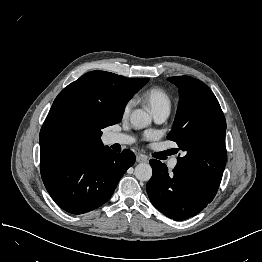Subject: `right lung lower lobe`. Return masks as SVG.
Listing matches in <instances>:
<instances>
[{
	"label": "right lung lower lobe",
	"mask_w": 262,
	"mask_h": 262,
	"mask_svg": "<svg viewBox=\"0 0 262 262\" xmlns=\"http://www.w3.org/2000/svg\"><path fill=\"white\" fill-rule=\"evenodd\" d=\"M134 162L131 150L117 154L107 146L98 150L82 148L41 153L40 171L54 202L69 213L83 214L109 200Z\"/></svg>",
	"instance_id": "1"
}]
</instances>
